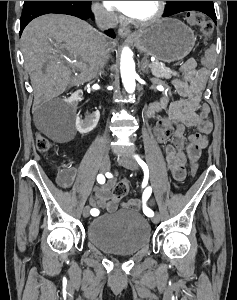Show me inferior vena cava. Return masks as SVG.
Instances as JSON below:
<instances>
[{"mask_svg": "<svg viewBox=\"0 0 237 300\" xmlns=\"http://www.w3.org/2000/svg\"><path fill=\"white\" fill-rule=\"evenodd\" d=\"M93 11H94V15H95L96 25H97V27H99V29H101V31H107V29H115L116 25H118L119 17H117V15H114V13H112V11H106V9H103V7H100V5H98V7H93ZM100 35L102 37V43H101L102 65H101V67H103V65H105V63H106V59H108V57H109V55H108L109 45H107L106 39H105V37H103V33H100Z\"/></svg>", "mask_w": 237, "mask_h": 300, "instance_id": "inferior-vena-cava-1", "label": "inferior vena cava"}]
</instances>
